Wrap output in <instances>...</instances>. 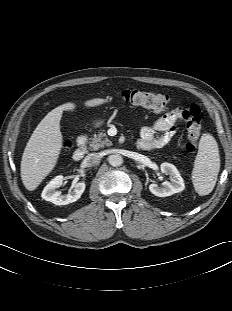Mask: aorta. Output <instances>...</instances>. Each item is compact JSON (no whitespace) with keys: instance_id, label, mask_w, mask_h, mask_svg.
I'll list each match as a JSON object with an SVG mask.
<instances>
[{"instance_id":"1","label":"aorta","mask_w":232,"mask_h":311,"mask_svg":"<svg viewBox=\"0 0 232 311\" xmlns=\"http://www.w3.org/2000/svg\"><path fill=\"white\" fill-rule=\"evenodd\" d=\"M108 162L111 166L118 167L122 165L123 158L120 154H113L109 156Z\"/></svg>"}]
</instances>
